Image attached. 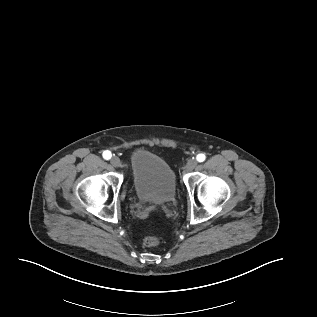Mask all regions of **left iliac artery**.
Listing matches in <instances>:
<instances>
[{"mask_svg": "<svg viewBox=\"0 0 317 317\" xmlns=\"http://www.w3.org/2000/svg\"><path fill=\"white\" fill-rule=\"evenodd\" d=\"M196 159L198 162H203L206 159V156L204 154H198Z\"/></svg>", "mask_w": 317, "mask_h": 317, "instance_id": "44dca946", "label": "left iliac artery"}]
</instances>
